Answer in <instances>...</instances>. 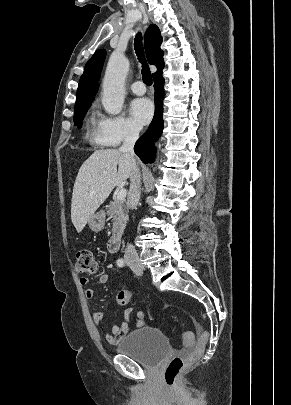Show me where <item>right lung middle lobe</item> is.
I'll return each instance as SVG.
<instances>
[{
  "mask_svg": "<svg viewBox=\"0 0 291 405\" xmlns=\"http://www.w3.org/2000/svg\"><path fill=\"white\" fill-rule=\"evenodd\" d=\"M88 108L74 111V125H77L78 128L81 127V122L84 119L85 114L87 113Z\"/></svg>",
  "mask_w": 291,
  "mask_h": 405,
  "instance_id": "1",
  "label": "right lung middle lobe"
}]
</instances>
